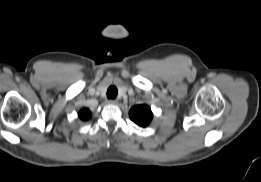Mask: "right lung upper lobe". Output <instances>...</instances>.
I'll return each mask as SVG.
<instances>
[{"label":"right lung upper lobe","instance_id":"obj_1","mask_svg":"<svg viewBox=\"0 0 261 182\" xmlns=\"http://www.w3.org/2000/svg\"><path fill=\"white\" fill-rule=\"evenodd\" d=\"M91 117V112L84 108L82 109L80 112H79V118L82 119V120H88L89 118Z\"/></svg>","mask_w":261,"mask_h":182}]
</instances>
